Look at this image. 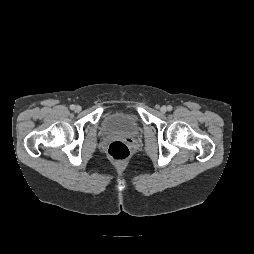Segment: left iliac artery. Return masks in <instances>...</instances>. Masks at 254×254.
Returning <instances> with one entry per match:
<instances>
[{"label":"left iliac artery","instance_id":"left-iliac-artery-1","mask_svg":"<svg viewBox=\"0 0 254 254\" xmlns=\"http://www.w3.org/2000/svg\"><path fill=\"white\" fill-rule=\"evenodd\" d=\"M167 110H168V111H171V110H172V106H171V105H168V106H167Z\"/></svg>","mask_w":254,"mask_h":254}]
</instances>
